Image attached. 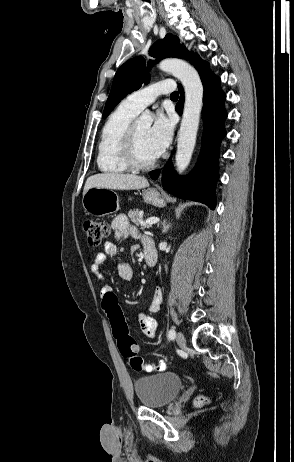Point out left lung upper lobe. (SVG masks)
Segmentation results:
<instances>
[{"instance_id":"5c2ea615","label":"left lung upper lobe","mask_w":294,"mask_h":462,"mask_svg":"<svg viewBox=\"0 0 294 462\" xmlns=\"http://www.w3.org/2000/svg\"><path fill=\"white\" fill-rule=\"evenodd\" d=\"M150 56L154 58L177 57L185 58L194 64L195 67L204 63L200 57L180 44L179 38L167 34L163 40L157 41L149 50ZM153 61L148 62V66ZM146 60L142 57H135L125 62L116 72L111 92L105 104L103 118H106L116 105L129 93L138 90L142 83L150 81V75L146 72Z\"/></svg>"}]
</instances>
